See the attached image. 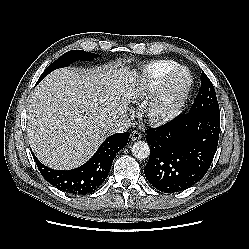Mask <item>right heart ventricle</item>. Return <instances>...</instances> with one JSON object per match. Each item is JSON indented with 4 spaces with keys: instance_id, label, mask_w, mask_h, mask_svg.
Wrapping results in <instances>:
<instances>
[{
    "instance_id": "1",
    "label": "right heart ventricle",
    "mask_w": 249,
    "mask_h": 249,
    "mask_svg": "<svg viewBox=\"0 0 249 249\" xmlns=\"http://www.w3.org/2000/svg\"><path fill=\"white\" fill-rule=\"evenodd\" d=\"M179 66L173 60H157L146 65L142 70L141 82L135 89L132 99L142 101L160 86L163 78L174 68Z\"/></svg>"
}]
</instances>
